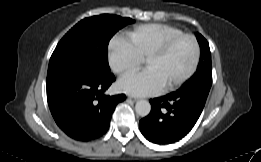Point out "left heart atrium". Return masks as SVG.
I'll use <instances>...</instances> for the list:
<instances>
[{
    "label": "left heart atrium",
    "mask_w": 261,
    "mask_h": 162,
    "mask_svg": "<svg viewBox=\"0 0 261 162\" xmlns=\"http://www.w3.org/2000/svg\"><path fill=\"white\" fill-rule=\"evenodd\" d=\"M118 87L121 91L135 96L157 94L164 88L159 76L152 69L121 78Z\"/></svg>",
    "instance_id": "1"
}]
</instances>
